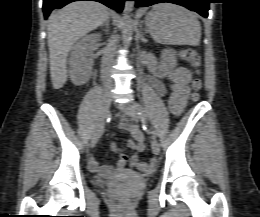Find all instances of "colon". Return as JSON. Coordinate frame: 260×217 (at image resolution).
<instances>
[{"label":"colon","instance_id":"1","mask_svg":"<svg viewBox=\"0 0 260 217\" xmlns=\"http://www.w3.org/2000/svg\"><path fill=\"white\" fill-rule=\"evenodd\" d=\"M181 57L187 62H189L195 68L196 72H198V68L200 66V57L196 51L194 50L184 51L181 53ZM200 87H201L200 80L197 77H195L192 81V88L194 90L192 97L194 100H196L198 97V91ZM134 166L140 172L149 171V166L144 162H140V163L137 162ZM114 201L118 204H124L126 202V200L122 198H115Z\"/></svg>","mask_w":260,"mask_h":217}]
</instances>
